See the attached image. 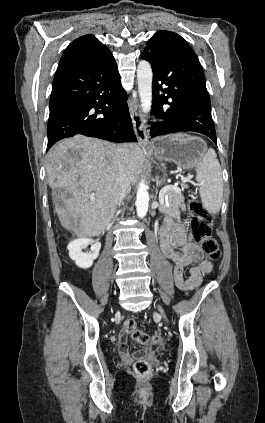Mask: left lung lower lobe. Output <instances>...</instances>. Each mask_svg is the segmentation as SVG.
I'll use <instances>...</instances> for the list:
<instances>
[{
  "label": "left lung lower lobe",
  "instance_id": "obj_1",
  "mask_svg": "<svg viewBox=\"0 0 265 423\" xmlns=\"http://www.w3.org/2000/svg\"><path fill=\"white\" fill-rule=\"evenodd\" d=\"M142 58L153 69L152 111L163 120L151 127V137L194 131L217 144L204 72L190 45L181 36L171 34L163 43L144 51ZM159 91L165 94L159 95ZM164 104L171 107L163 108Z\"/></svg>",
  "mask_w": 265,
  "mask_h": 423
}]
</instances>
